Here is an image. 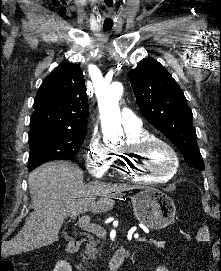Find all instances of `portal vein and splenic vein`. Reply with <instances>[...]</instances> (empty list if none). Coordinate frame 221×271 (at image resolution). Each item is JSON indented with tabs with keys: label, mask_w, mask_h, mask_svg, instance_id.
<instances>
[{
	"label": "portal vein and splenic vein",
	"mask_w": 221,
	"mask_h": 271,
	"mask_svg": "<svg viewBox=\"0 0 221 271\" xmlns=\"http://www.w3.org/2000/svg\"><path fill=\"white\" fill-rule=\"evenodd\" d=\"M71 217H77V215H71ZM79 227L81 229H85V231H90L91 234H97L98 238H103L105 234V229H103V226L98 225H92L90 223V219L86 217V215H82V217H79L77 221ZM147 235H142V237H136V242H142L143 240H147Z\"/></svg>",
	"instance_id": "18ae733b"
}]
</instances>
